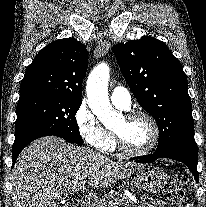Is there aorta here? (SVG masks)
<instances>
[{
  "mask_svg": "<svg viewBox=\"0 0 206 207\" xmlns=\"http://www.w3.org/2000/svg\"><path fill=\"white\" fill-rule=\"evenodd\" d=\"M109 72L107 64H99L90 73L86 85L88 105L104 126H109L119 117L108 97Z\"/></svg>",
  "mask_w": 206,
  "mask_h": 207,
  "instance_id": "aorta-1",
  "label": "aorta"
}]
</instances>
